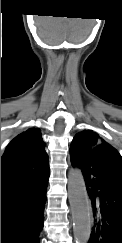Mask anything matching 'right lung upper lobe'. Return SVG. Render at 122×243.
Here are the masks:
<instances>
[{"label":"right lung upper lobe","instance_id":"obj_1","mask_svg":"<svg viewBox=\"0 0 122 243\" xmlns=\"http://www.w3.org/2000/svg\"><path fill=\"white\" fill-rule=\"evenodd\" d=\"M45 143L39 129H28L16 136L1 158V188L19 179L49 169Z\"/></svg>","mask_w":122,"mask_h":243}]
</instances>
